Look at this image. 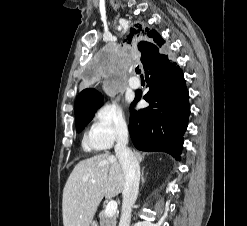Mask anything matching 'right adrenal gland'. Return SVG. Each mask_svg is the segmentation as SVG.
Returning a JSON list of instances; mask_svg holds the SVG:
<instances>
[{
  "label": "right adrenal gland",
  "instance_id": "2a0ac1e0",
  "mask_svg": "<svg viewBox=\"0 0 247 226\" xmlns=\"http://www.w3.org/2000/svg\"><path fill=\"white\" fill-rule=\"evenodd\" d=\"M144 168L142 169V178H141V181H142V184H144L145 183V178H144Z\"/></svg>",
  "mask_w": 247,
  "mask_h": 226
}]
</instances>
